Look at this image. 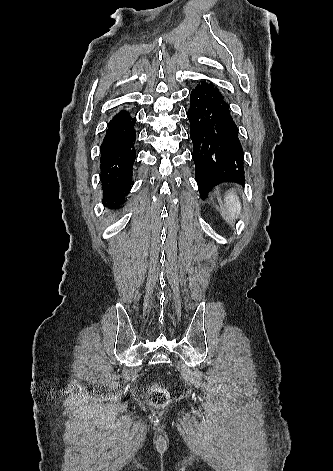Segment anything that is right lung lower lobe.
Masks as SVG:
<instances>
[{"label":"right lung lower lobe","instance_id":"98d812e1","mask_svg":"<svg viewBox=\"0 0 333 471\" xmlns=\"http://www.w3.org/2000/svg\"><path fill=\"white\" fill-rule=\"evenodd\" d=\"M135 118L121 110L108 125L101 146V181L103 204L120 207L133 184L132 166L136 159Z\"/></svg>","mask_w":333,"mask_h":471}]
</instances>
